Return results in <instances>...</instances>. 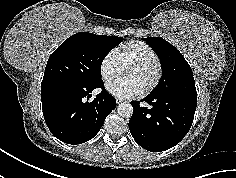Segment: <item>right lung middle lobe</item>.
I'll list each match as a JSON object with an SVG mask.
<instances>
[{"label":"right lung middle lobe","mask_w":236,"mask_h":178,"mask_svg":"<svg viewBox=\"0 0 236 178\" xmlns=\"http://www.w3.org/2000/svg\"><path fill=\"white\" fill-rule=\"evenodd\" d=\"M122 40V37L87 32L72 35L50 55L42 82L62 80L85 85L102 84V61Z\"/></svg>","instance_id":"right-lung-middle-lobe-1"}]
</instances>
